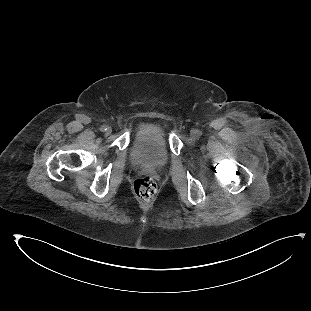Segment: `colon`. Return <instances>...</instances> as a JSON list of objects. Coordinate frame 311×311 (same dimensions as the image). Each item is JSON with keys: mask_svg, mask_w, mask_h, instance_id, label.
I'll return each mask as SVG.
<instances>
[{"mask_svg": "<svg viewBox=\"0 0 311 311\" xmlns=\"http://www.w3.org/2000/svg\"><path fill=\"white\" fill-rule=\"evenodd\" d=\"M133 192L138 201L149 202L156 195L157 185L151 176L142 175L134 181Z\"/></svg>", "mask_w": 311, "mask_h": 311, "instance_id": "5ec220e1", "label": "colon"}]
</instances>
